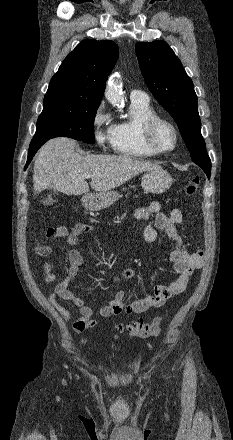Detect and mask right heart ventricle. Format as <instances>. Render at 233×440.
Listing matches in <instances>:
<instances>
[{"label":"right heart ventricle","mask_w":233,"mask_h":440,"mask_svg":"<svg viewBox=\"0 0 233 440\" xmlns=\"http://www.w3.org/2000/svg\"><path fill=\"white\" fill-rule=\"evenodd\" d=\"M156 115L149 102L131 101L130 117L112 125L114 150L126 157L149 158L157 154L143 142L141 127L145 120Z\"/></svg>","instance_id":"right-heart-ventricle-1"}]
</instances>
